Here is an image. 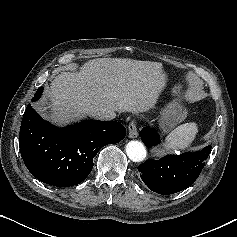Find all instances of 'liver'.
<instances>
[{
	"instance_id": "1",
	"label": "liver",
	"mask_w": 237,
	"mask_h": 237,
	"mask_svg": "<svg viewBox=\"0 0 237 237\" xmlns=\"http://www.w3.org/2000/svg\"><path fill=\"white\" fill-rule=\"evenodd\" d=\"M162 63L128 58L90 60L78 72H62L51 83L42 108L56 123L70 122L94 111L143 112L164 89Z\"/></svg>"
}]
</instances>
